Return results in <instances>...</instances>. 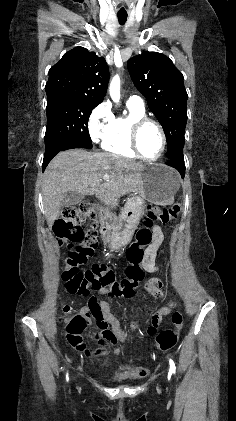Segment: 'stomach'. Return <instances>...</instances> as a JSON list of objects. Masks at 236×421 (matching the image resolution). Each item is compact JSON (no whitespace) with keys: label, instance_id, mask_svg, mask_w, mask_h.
Listing matches in <instances>:
<instances>
[{"label":"stomach","instance_id":"0dacf381","mask_svg":"<svg viewBox=\"0 0 236 421\" xmlns=\"http://www.w3.org/2000/svg\"><path fill=\"white\" fill-rule=\"evenodd\" d=\"M143 196L131 194L126 200L119 217H114L110 211L102 213L101 221L107 227L108 247L111 251H118L126 247L138 229V225L145 215L146 202L153 204H171L174 194L179 188V178L174 168L165 164H145L142 170Z\"/></svg>","mask_w":236,"mask_h":421}]
</instances>
